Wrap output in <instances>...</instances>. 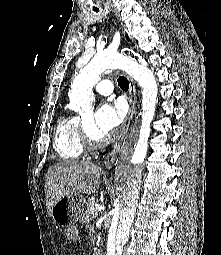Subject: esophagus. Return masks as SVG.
Instances as JSON below:
<instances>
[{"label":"esophagus","instance_id":"obj_1","mask_svg":"<svg viewBox=\"0 0 221 255\" xmlns=\"http://www.w3.org/2000/svg\"><path fill=\"white\" fill-rule=\"evenodd\" d=\"M129 81V90H128V101H129V112L128 115L124 121V124L118 134L117 140L113 145L112 150L107 154L106 161H105V168L107 170H110L112 168V165L114 164L116 157L118 155V152L120 150V147L122 145L123 139L128 132V129L130 127L131 121L133 120V117L136 112V105H137V91L134 81L127 77Z\"/></svg>","mask_w":221,"mask_h":255}]
</instances>
